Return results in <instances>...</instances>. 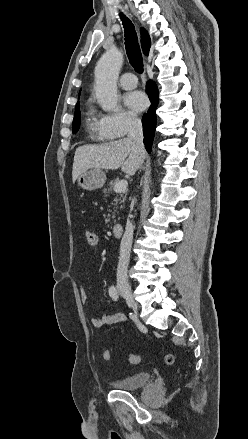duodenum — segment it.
<instances>
[{
    "label": "duodenum",
    "instance_id": "duodenum-1",
    "mask_svg": "<svg viewBox=\"0 0 248 439\" xmlns=\"http://www.w3.org/2000/svg\"><path fill=\"white\" fill-rule=\"evenodd\" d=\"M124 231V224L122 223H115L112 227V232L115 236H121Z\"/></svg>",
    "mask_w": 248,
    "mask_h": 439
}]
</instances>
